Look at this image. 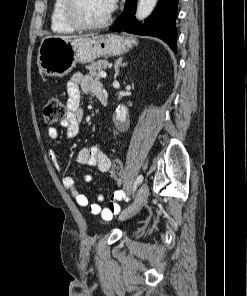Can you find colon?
Masks as SVG:
<instances>
[{
  "mask_svg": "<svg viewBox=\"0 0 247 296\" xmlns=\"http://www.w3.org/2000/svg\"><path fill=\"white\" fill-rule=\"evenodd\" d=\"M66 115V107L57 96H49L43 107V118L47 123H56L62 120ZM123 162L119 158L112 161L110 168L111 177L119 181L123 175Z\"/></svg>",
  "mask_w": 247,
  "mask_h": 296,
  "instance_id": "1",
  "label": "colon"
}]
</instances>
